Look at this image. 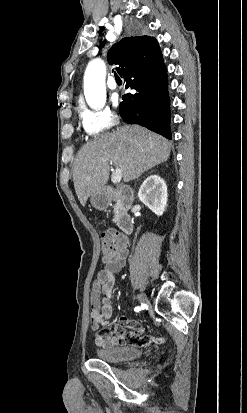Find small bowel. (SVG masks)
Returning <instances> with one entry per match:
<instances>
[{"mask_svg": "<svg viewBox=\"0 0 247 413\" xmlns=\"http://www.w3.org/2000/svg\"><path fill=\"white\" fill-rule=\"evenodd\" d=\"M129 256L128 245L121 249L109 258H107L103 268L97 273L95 281L90 294V327L96 331L94 336V343L102 348H112L123 345L125 343H133L135 349L151 348L155 346L156 341H161V336L146 334L144 324L142 322H135L133 329H129L127 334L120 335L119 328H109L100 330L102 326L108 324L112 316V293L114 286V275L118 273L126 264ZM123 325L129 327L132 322L122 317ZM116 334V335H113ZM140 338V340H136Z\"/></svg>", "mask_w": 247, "mask_h": 413, "instance_id": "obj_1", "label": "small bowel"}]
</instances>
